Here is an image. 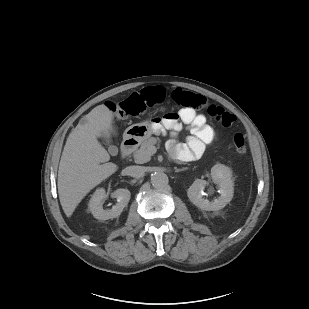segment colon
I'll list each match as a JSON object with an SVG mask.
<instances>
[{"label":"colon","mask_w":309,"mask_h":309,"mask_svg":"<svg viewBox=\"0 0 309 309\" xmlns=\"http://www.w3.org/2000/svg\"><path fill=\"white\" fill-rule=\"evenodd\" d=\"M166 96L162 87H152L141 93L133 94L123 101H109L107 108L117 118L123 119L138 116L146 109L161 103ZM173 101L182 107L190 109H204L207 114L224 128H230L234 123V116L223 107L211 104L207 99L197 93L176 88L172 91ZM233 147L239 154L247 151V142L243 134L237 133L232 139Z\"/></svg>","instance_id":"obj_1"}]
</instances>
